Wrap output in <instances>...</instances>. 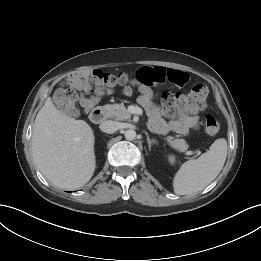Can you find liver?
I'll list each match as a JSON object with an SVG mask.
<instances>
[{
	"label": "liver",
	"mask_w": 261,
	"mask_h": 261,
	"mask_svg": "<svg viewBox=\"0 0 261 261\" xmlns=\"http://www.w3.org/2000/svg\"><path fill=\"white\" fill-rule=\"evenodd\" d=\"M31 141L37 168L56 187L76 189L93 176L96 159L92 128L84 120L61 113L50 97L36 115Z\"/></svg>",
	"instance_id": "obj_1"
}]
</instances>
